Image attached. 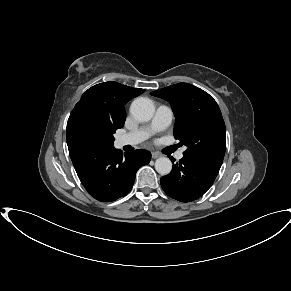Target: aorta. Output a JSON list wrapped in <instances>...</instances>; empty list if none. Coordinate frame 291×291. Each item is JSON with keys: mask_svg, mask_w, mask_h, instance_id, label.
Segmentation results:
<instances>
[{"mask_svg": "<svg viewBox=\"0 0 291 291\" xmlns=\"http://www.w3.org/2000/svg\"><path fill=\"white\" fill-rule=\"evenodd\" d=\"M155 112V107L149 98H136L130 106L131 115L140 122L151 120ZM172 162L167 157H160L155 161V170L161 175H167L171 172Z\"/></svg>", "mask_w": 291, "mask_h": 291, "instance_id": "aorta-1", "label": "aorta"}]
</instances>
